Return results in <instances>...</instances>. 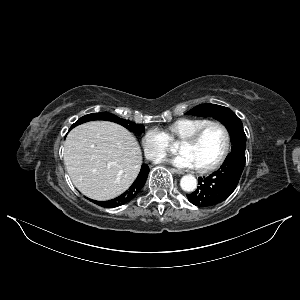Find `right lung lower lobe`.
<instances>
[{"instance_id": "98d812e1", "label": "right lung lower lobe", "mask_w": 300, "mask_h": 300, "mask_svg": "<svg viewBox=\"0 0 300 300\" xmlns=\"http://www.w3.org/2000/svg\"><path fill=\"white\" fill-rule=\"evenodd\" d=\"M149 173V167L148 165L144 164L141 167L140 173L134 183L130 186V188L124 192L122 195L116 197L115 199L109 200V201H95L92 200L95 204L106 207V208H112L121 206L130 200H132L143 188L146 179L148 177Z\"/></svg>"}]
</instances>
